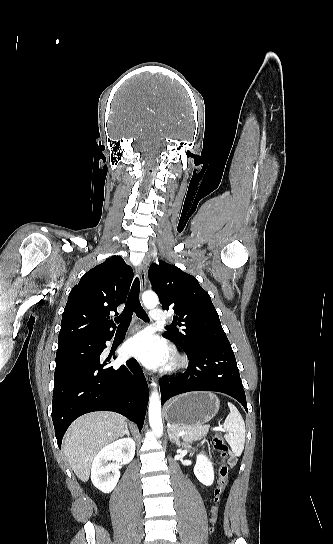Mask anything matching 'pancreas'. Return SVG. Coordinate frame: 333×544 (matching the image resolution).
<instances>
[{
    "instance_id": "cf45deb5",
    "label": "pancreas",
    "mask_w": 333,
    "mask_h": 544,
    "mask_svg": "<svg viewBox=\"0 0 333 544\" xmlns=\"http://www.w3.org/2000/svg\"><path fill=\"white\" fill-rule=\"evenodd\" d=\"M169 430L172 432L184 431L185 435L183 436V439L186 441L200 440L201 438L207 435V429L202 425H197V426L172 425L169 428Z\"/></svg>"
}]
</instances>
